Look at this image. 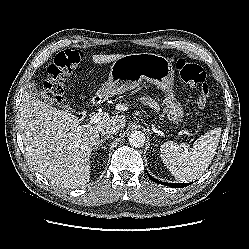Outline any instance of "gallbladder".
<instances>
[{
  "mask_svg": "<svg viewBox=\"0 0 249 249\" xmlns=\"http://www.w3.org/2000/svg\"><path fill=\"white\" fill-rule=\"evenodd\" d=\"M25 91H27L32 96H36L46 102L47 104L62 107L66 111H70V108L66 105H60L56 103V101L47 93V91L39 86H37L35 83H29Z\"/></svg>",
  "mask_w": 249,
  "mask_h": 249,
  "instance_id": "gallbladder-1",
  "label": "gallbladder"
}]
</instances>
